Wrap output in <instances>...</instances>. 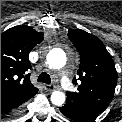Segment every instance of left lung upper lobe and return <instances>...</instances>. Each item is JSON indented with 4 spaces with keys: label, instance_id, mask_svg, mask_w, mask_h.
I'll list each match as a JSON object with an SVG mask.
<instances>
[{
    "label": "left lung upper lobe",
    "instance_id": "obj_1",
    "mask_svg": "<svg viewBox=\"0 0 122 122\" xmlns=\"http://www.w3.org/2000/svg\"><path fill=\"white\" fill-rule=\"evenodd\" d=\"M68 37L80 54L77 92H67V99L102 113L113 99L117 72L113 59L102 41L83 30H71ZM77 84V79H73Z\"/></svg>",
    "mask_w": 122,
    "mask_h": 122
}]
</instances>
